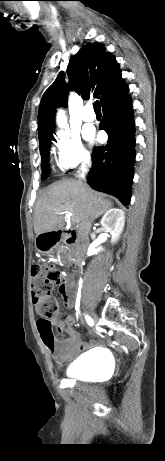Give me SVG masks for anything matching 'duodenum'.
<instances>
[{"label":"duodenum","instance_id":"410a0bca","mask_svg":"<svg viewBox=\"0 0 165 461\" xmlns=\"http://www.w3.org/2000/svg\"><path fill=\"white\" fill-rule=\"evenodd\" d=\"M54 241L62 242L69 246H74L76 248L75 264L79 266L84 258L85 253V242L79 236L78 231L59 229L48 235ZM70 285H67V291L69 290Z\"/></svg>","mask_w":165,"mask_h":461}]
</instances>
